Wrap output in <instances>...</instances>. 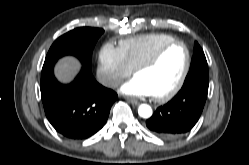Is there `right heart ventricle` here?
Returning <instances> with one entry per match:
<instances>
[{
  "label": "right heart ventricle",
  "mask_w": 249,
  "mask_h": 165,
  "mask_svg": "<svg viewBox=\"0 0 249 165\" xmlns=\"http://www.w3.org/2000/svg\"><path fill=\"white\" fill-rule=\"evenodd\" d=\"M175 38L166 33H148L121 40L119 49L125 62L134 70L137 65L151 57L156 50Z\"/></svg>",
  "instance_id": "right-heart-ventricle-1"
}]
</instances>
